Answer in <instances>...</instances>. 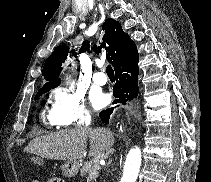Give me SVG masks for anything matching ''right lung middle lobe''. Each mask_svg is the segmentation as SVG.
Listing matches in <instances>:
<instances>
[{"label":"right lung middle lobe","instance_id":"obj_1","mask_svg":"<svg viewBox=\"0 0 211 182\" xmlns=\"http://www.w3.org/2000/svg\"><path fill=\"white\" fill-rule=\"evenodd\" d=\"M49 90H50V89H48V90H46V91H43V92L37 94V95L35 96V100H37L43 93H45V92H47V91H49Z\"/></svg>","mask_w":211,"mask_h":182}]
</instances>
